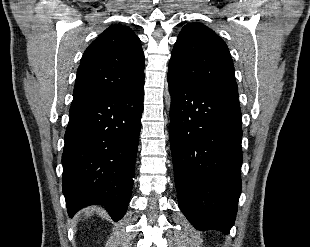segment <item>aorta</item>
I'll use <instances>...</instances> for the list:
<instances>
[{"mask_svg":"<svg viewBox=\"0 0 310 247\" xmlns=\"http://www.w3.org/2000/svg\"><path fill=\"white\" fill-rule=\"evenodd\" d=\"M168 106L170 107V104H171V98L169 96V94H167V100H166Z\"/></svg>","mask_w":310,"mask_h":247,"instance_id":"obj_1","label":"aorta"}]
</instances>
